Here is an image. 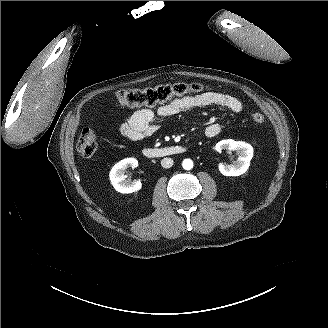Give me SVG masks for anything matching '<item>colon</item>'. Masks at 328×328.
Listing matches in <instances>:
<instances>
[{"instance_id": "5ec220e1", "label": "colon", "mask_w": 328, "mask_h": 328, "mask_svg": "<svg viewBox=\"0 0 328 328\" xmlns=\"http://www.w3.org/2000/svg\"><path fill=\"white\" fill-rule=\"evenodd\" d=\"M205 87L200 83H175L161 85L154 88L121 90L116 94L117 101L124 106H154L175 96H183L190 93H199ZM252 119L257 124H263L265 117L261 113L252 114ZM97 149L96 136L91 128H84L77 141V150L83 157L89 158Z\"/></svg>"}]
</instances>
